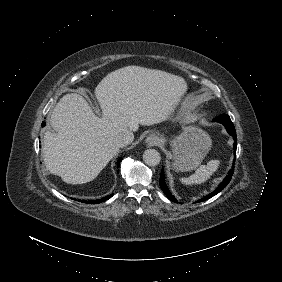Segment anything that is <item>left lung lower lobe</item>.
Segmentation results:
<instances>
[{"instance_id":"0a47b994","label":"left lung lower lobe","mask_w":282,"mask_h":282,"mask_svg":"<svg viewBox=\"0 0 282 282\" xmlns=\"http://www.w3.org/2000/svg\"><path fill=\"white\" fill-rule=\"evenodd\" d=\"M214 121L216 122H220L221 124H223L225 126V128L227 129L228 133L233 137L234 140H236V131H235V127L230 119V117L226 114H222L218 117H216L214 119ZM236 147H237V143L235 142L233 144V149L236 152ZM234 156H236V153H234ZM234 172V167H232V169L229 171L228 175L225 177V179L223 180V182L218 186V188L213 191L212 193H210L209 195H207L206 197H204L201 200H198L196 202H201V201H205L211 197H213L214 195H216L217 193H219L221 190H223L227 184L230 182L232 175ZM160 187L163 190V192L165 193V195L173 202H177L175 197L170 193L168 187L165 184L164 181V173L163 170L161 171V176H160V181H159Z\"/></svg>"}]
</instances>
